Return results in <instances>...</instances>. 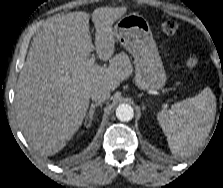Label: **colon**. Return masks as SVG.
<instances>
[{
	"label": "colon",
	"mask_w": 223,
	"mask_h": 188,
	"mask_svg": "<svg viewBox=\"0 0 223 188\" xmlns=\"http://www.w3.org/2000/svg\"><path fill=\"white\" fill-rule=\"evenodd\" d=\"M180 27V24L178 21L173 19L164 20L161 23V29L166 34H175ZM186 66L189 68H194L199 63V57L196 53H190L188 54L186 58Z\"/></svg>",
	"instance_id": "obj_1"
}]
</instances>
